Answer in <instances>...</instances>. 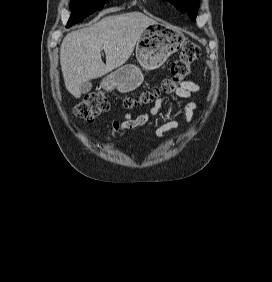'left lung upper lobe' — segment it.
<instances>
[{
  "label": "left lung upper lobe",
  "mask_w": 272,
  "mask_h": 282,
  "mask_svg": "<svg viewBox=\"0 0 272 282\" xmlns=\"http://www.w3.org/2000/svg\"><path fill=\"white\" fill-rule=\"evenodd\" d=\"M175 5L182 13L187 12L190 19L195 21L199 8V0H166Z\"/></svg>",
  "instance_id": "1"
}]
</instances>
